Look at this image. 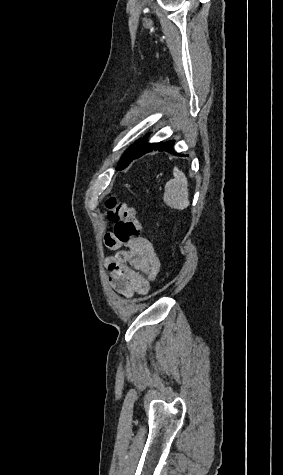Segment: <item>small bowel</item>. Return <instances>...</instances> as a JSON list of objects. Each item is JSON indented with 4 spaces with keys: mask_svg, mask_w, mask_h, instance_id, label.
Segmentation results:
<instances>
[{
    "mask_svg": "<svg viewBox=\"0 0 283 475\" xmlns=\"http://www.w3.org/2000/svg\"><path fill=\"white\" fill-rule=\"evenodd\" d=\"M101 233L105 248L119 249L114 255L104 259L111 287L128 299L136 294L146 295L161 268L151 241L140 237L124 245L122 239H113L114 230L110 224H105ZM144 243L148 246L145 250L141 247Z\"/></svg>",
    "mask_w": 283,
    "mask_h": 475,
    "instance_id": "small-bowel-1",
    "label": "small bowel"
}]
</instances>
